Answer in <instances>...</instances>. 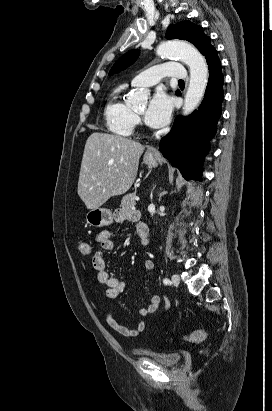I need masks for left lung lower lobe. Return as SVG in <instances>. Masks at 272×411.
<instances>
[{
  "label": "left lung lower lobe",
  "instance_id": "0a47b994",
  "mask_svg": "<svg viewBox=\"0 0 272 411\" xmlns=\"http://www.w3.org/2000/svg\"><path fill=\"white\" fill-rule=\"evenodd\" d=\"M205 58L209 80L202 104L188 117H177L171 131L160 141L163 156L181 171L185 179L200 180L202 160L209 150V140L216 133L224 98V78L215 48Z\"/></svg>",
  "mask_w": 272,
  "mask_h": 411
}]
</instances>
